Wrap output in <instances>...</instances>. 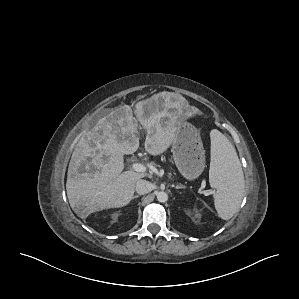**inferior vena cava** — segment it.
I'll return each mask as SVG.
<instances>
[{"mask_svg": "<svg viewBox=\"0 0 299 299\" xmlns=\"http://www.w3.org/2000/svg\"><path fill=\"white\" fill-rule=\"evenodd\" d=\"M135 189L140 195L147 194L153 190V184L147 180L140 179L136 182Z\"/></svg>", "mask_w": 299, "mask_h": 299, "instance_id": "602c4592", "label": "inferior vena cava"}]
</instances>
